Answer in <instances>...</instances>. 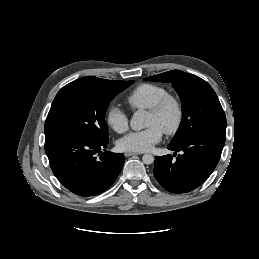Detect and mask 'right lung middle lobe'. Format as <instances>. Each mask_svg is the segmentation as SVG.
I'll list each match as a JSON object with an SVG mask.
<instances>
[{
	"instance_id": "obj_1",
	"label": "right lung middle lobe",
	"mask_w": 259,
	"mask_h": 259,
	"mask_svg": "<svg viewBox=\"0 0 259 259\" xmlns=\"http://www.w3.org/2000/svg\"><path fill=\"white\" fill-rule=\"evenodd\" d=\"M134 81L113 80L108 87L75 80L57 93L48 113L45 138L80 135L107 141L108 126L104 119L109 102Z\"/></svg>"
}]
</instances>
